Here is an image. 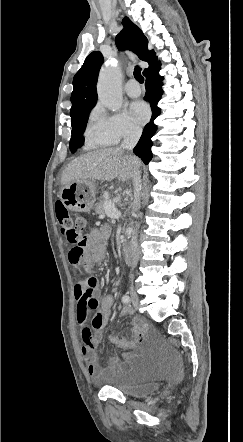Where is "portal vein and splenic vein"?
<instances>
[{"mask_svg": "<svg viewBox=\"0 0 243 442\" xmlns=\"http://www.w3.org/2000/svg\"><path fill=\"white\" fill-rule=\"evenodd\" d=\"M106 214L114 219H118L121 216V213L116 209L113 203H106L104 206Z\"/></svg>", "mask_w": 243, "mask_h": 442, "instance_id": "obj_1", "label": "portal vein and splenic vein"}]
</instances>
